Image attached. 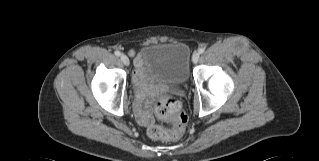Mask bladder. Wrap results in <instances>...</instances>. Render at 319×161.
<instances>
[{"label": "bladder", "mask_w": 319, "mask_h": 161, "mask_svg": "<svg viewBox=\"0 0 319 161\" xmlns=\"http://www.w3.org/2000/svg\"><path fill=\"white\" fill-rule=\"evenodd\" d=\"M190 58V49L184 43H149L137 57L147 80L174 85H184L189 80Z\"/></svg>", "instance_id": "1"}]
</instances>
